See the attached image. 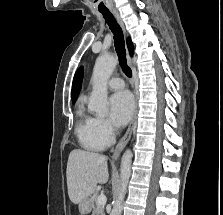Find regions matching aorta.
<instances>
[{"label":"aorta","mask_w":223,"mask_h":215,"mask_svg":"<svg viewBox=\"0 0 223 215\" xmlns=\"http://www.w3.org/2000/svg\"><path fill=\"white\" fill-rule=\"evenodd\" d=\"M118 64V58L107 54V56H100L97 58L91 78L92 94L89 98L88 108L90 111H94L100 117L107 115V82L112 76L116 66ZM131 163H132V151L126 149L121 159V183L118 197L113 205V209L110 215H121L122 203L127 191L128 181L131 175Z\"/></svg>","instance_id":"762f6f07"}]
</instances>
